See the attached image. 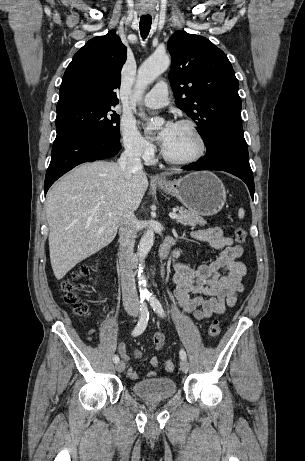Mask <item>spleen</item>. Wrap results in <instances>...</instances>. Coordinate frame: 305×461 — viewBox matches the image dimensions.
Segmentation results:
<instances>
[{
  "mask_svg": "<svg viewBox=\"0 0 305 461\" xmlns=\"http://www.w3.org/2000/svg\"><path fill=\"white\" fill-rule=\"evenodd\" d=\"M244 215H245L244 210H243L242 208H240L239 211H238V217H239L240 219H242V218H244Z\"/></svg>",
  "mask_w": 305,
  "mask_h": 461,
  "instance_id": "obj_1",
  "label": "spleen"
}]
</instances>
